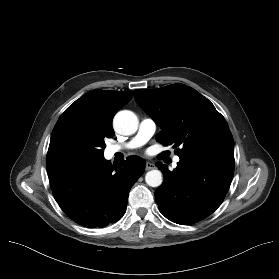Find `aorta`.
Wrapping results in <instances>:
<instances>
[{"label":"aorta","instance_id":"aorta-1","mask_svg":"<svg viewBox=\"0 0 279 279\" xmlns=\"http://www.w3.org/2000/svg\"><path fill=\"white\" fill-rule=\"evenodd\" d=\"M113 126L117 133L122 135H132L138 129L137 116L128 110L119 111L114 119ZM146 183L151 187H158L163 182L162 173L160 170H151L146 173Z\"/></svg>","mask_w":279,"mask_h":279}]
</instances>
